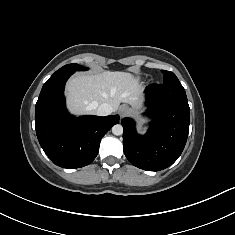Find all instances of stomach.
<instances>
[{"label": "stomach", "instance_id": "0dacf381", "mask_svg": "<svg viewBox=\"0 0 235 235\" xmlns=\"http://www.w3.org/2000/svg\"><path fill=\"white\" fill-rule=\"evenodd\" d=\"M145 122H146V120L140 119V123H141V124H143V123H145Z\"/></svg>", "mask_w": 235, "mask_h": 235}]
</instances>
